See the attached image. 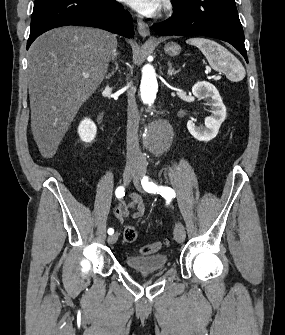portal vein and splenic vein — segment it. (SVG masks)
I'll list each match as a JSON object with an SVG mask.
<instances>
[{
	"mask_svg": "<svg viewBox=\"0 0 285 335\" xmlns=\"http://www.w3.org/2000/svg\"><path fill=\"white\" fill-rule=\"evenodd\" d=\"M83 78H89V74H83Z\"/></svg>",
	"mask_w": 285,
	"mask_h": 335,
	"instance_id": "18ae733b",
	"label": "portal vein and splenic vein"
}]
</instances>
